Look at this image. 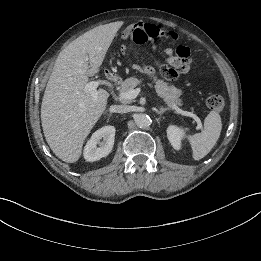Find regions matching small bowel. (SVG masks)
<instances>
[{
  "instance_id": "c3829d8e",
  "label": "small bowel",
  "mask_w": 261,
  "mask_h": 261,
  "mask_svg": "<svg viewBox=\"0 0 261 261\" xmlns=\"http://www.w3.org/2000/svg\"><path fill=\"white\" fill-rule=\"evenodd\" d=\"M131 39L133 40V35L131 36ZM148 43L151 51L154 52L156 49L154 38L152 37ZM121 51L125 54L127 53L128 48L123 46ZM165 55V65L173 71V77L171 78L172 80L176 79L180 74L186 73L190 69L191 59L189 47L180 45L175 51L168 47L165 49ZM142 69L149 74H154V70L149 66H143Z\"/></svg>"
}]
</instances>
